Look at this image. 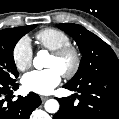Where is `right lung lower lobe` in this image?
<instances>
[{
  "label": "right lung lower lobe",
  "mask_w": 119,
  "mask_h": 119,
  "mask_svg": "<svg viewBox=\"0 0 119 119\" xmlns=\"http://www.w3.org/2000/svg\"><path fill=\"white\" fill-rule=\"evenodd\" d=\"M18 87L16 80L10 83L0 82V119H29L32 111L41 104L39 95L33 92L25 97L19 96L14 102L10 100L13 90Z\"/></svg>",
  "instance_id": "98d812e1"
}]
</instances>
